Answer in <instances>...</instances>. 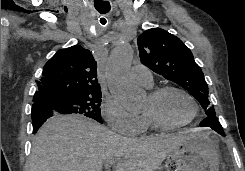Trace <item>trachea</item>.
<instances>
[{
	"label": "trachea",
	"instance_id": "obj_1",
	"mask_svg": "<svg viewBox=\"0 0 245 171\" xmlns=\"http://www.w3.org/2000/svg\"><path fill=\"white\" fill-rule=\"evenodd\" d=\"M97 2L94 3V7L100 14H106L110 11L111 6L110 3L107 1H101V0H96ZM100 23L102 25H105L107 23L105 18H100Z\"/></svg>",
	"mask_w": 245,
	"mask_h": 171
}]
</instances>
